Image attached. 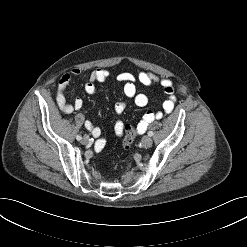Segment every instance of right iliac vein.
<instances>
[{
	"label": "right iliac vein",
	"instance_id": "right-iliac-vein-1",
	"mask_svg": "<svg viewBox=\"0 0 247 247\" xmlns=\"http://www.w3.org/2000/svg\"><path fill=\"white\" fill-rule=\"evenodd\" d=\"M82 144H88L90 142V138L89 136L85 135L82 140H81Z\"/></svg>",
	"mask_w": 247,
	"mask_h": 247
}]
</instances>
